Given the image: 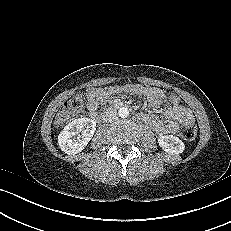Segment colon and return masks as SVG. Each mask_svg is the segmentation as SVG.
Returning a JSON list of instances; mask_svg holds the SVG:
<instances>
[{"mask_svg":"<svg viewBox=\"0 0 231 231\" xmlns=\"http://www.w3.org/2000/svg\"><path fill=\"white\" fill-rule=\"evenodd\" d=\"M168 101L171 105H181V99L176 94H171L168 97ZM84 108V98L81 95H75L71 98L59 111L55 119V125L57 127H62L65 125L72 117L78 115L82 112ZM180 134L182 138L186 141H193L196 138L197 130L196 127L192 124L184 125Z\"/></svg>","mask_w":231,"mask_h":231,"instance_id":"obj_1","label":"colon"}]
</instances>
